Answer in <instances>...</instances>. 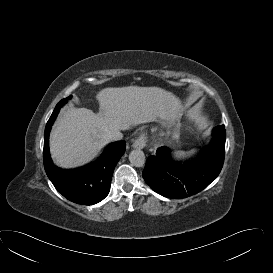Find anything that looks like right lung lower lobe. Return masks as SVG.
<instances>
[{"mask_svg": "<svg viewBox=\"0 0 273 273\" xmlns=\"http://www.w3.org/2000/svg\"><path fill=\"white\" fill-rule=\"evenodd\" d=\"M61 100L48 120L44 133L43 162L50 181L68 200L82 205H93L103 200L110 191L114 168L125 152V141L111 143L102 155L92 164L65 170L56 167L50 157L49 134L51 127L65 104Z\"/></svg>", "mask_w": 273, "mask_h": 273, "instance_id": "1", "label": "right lung lower lobe"}]
</instances>
